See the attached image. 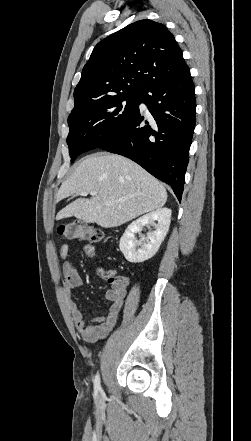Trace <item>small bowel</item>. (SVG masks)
Returning <instances> with one entry per match:
<instances>
[{
  "mask_svg": "<svg viewBox=\"0 0 251 441\" xmlns=\"http://www.w3.org/2000/svg\"><path fill=\"white\" fill-rule=\"evenodd\" d=\"M83 251L87 258L93 261L95 260L96 249L94 245L86 244L83 247ZM69 252V245L63 244L59 250V255L62 259H67ZM97 271L102 277H106L108 273L101 266H97ZM62 273L65 278L64 289L68 294V307L76 330L87 342H95L105 338L116 325L123 299L127 292V283L111 284V287L105 292V299L109 303L106 314L96 317L91 321H87L81 310L78 308L75 298L72 295L73 291L83 286L81 276L75 269L74 265L69 261L64 262Z\"/></svg>",
  "mask_w": 251,
  "mask_h": 441,
  "instance_id": "small-bowel-1",
  "label": "small bowel"
}]
</instances>
